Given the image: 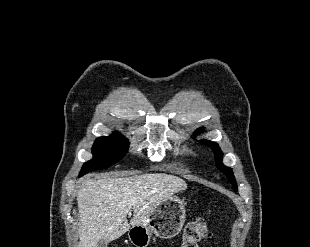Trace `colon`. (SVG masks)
Returning <instances> with one entry per match:
<instances>
[{
	"label": "colon",
	"instance_id": "5ec220e1",
	"mask_svg": "<svg viewBox=\"0 0 310 247\" xmlns=\"http://www.w3.org/2000/svg\"><path fill=\"white\" fill-rule=\"evenodd\" d=\"M210 236L205 222L202 219H196L189 222L183 232L181 247H198V243Z\"/></svg>",
	"mask_w": 310,
	"mask_h": 247
}]
</instances>
